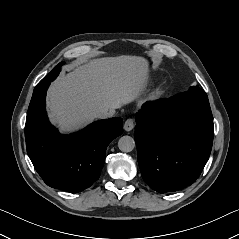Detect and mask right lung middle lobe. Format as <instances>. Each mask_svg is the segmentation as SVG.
<instances>
[{
    "label": "right lung middle lobe",
    "instance_id": "dd1d6c3e",
    "mask_svg": "<svg viewBox=\"0 0 239 239\" xmlns=\"http://www.w3.org/2000/svg\"><path fill=\"white\" fill-rule=\"evenodd\" d=\"M65 64V62H61L58 65H56L53 70L44 78L42 79L37 86L35 87V89L43 86L46 82L48 81H53L59 74L60 70H61V66Z\"/></svg>",
    "mask_w": 239,
    "mask_h": 239
}]
</instances>
